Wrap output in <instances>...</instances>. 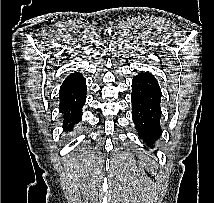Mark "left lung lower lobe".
Here are the masks:
<instances>
[{
    "label": "left lung lower lobe",
    "mask_w": 214,
    "mask_h": 203,
    "mask_svg": "<svg viewBox=\"0 0 214 203\" xmlns=\"http://www.w3.org/2000/svg\"><path fill=\"white\" fill-rule=\"evenodd\" d=\"M161 90L155 77L148 72H140L132 80V118L138 135L145 144L153 148L160 138Z\"/></svg>",
    "instance_id": "1"
}]
</instances>
